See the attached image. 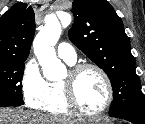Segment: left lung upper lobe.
Returning <instances> with one entry per match:
<instances>
[{
	"label": "left lung upper lobe",
	"mask_w": 145,
	"mask_h": 124,
	"mask_svg": "<svg viewBox=\"0 0 145 124\" xmlns=\"http://www.w3.org/2000/svg\"><path fill=\"white\" fill-rule=\"evenodd\" d=\"M72 12L70 40L110 78L113 88L110 116L145 119V100L121 18L106 0H75Z\"/></svg>",
	"instance_id": "1"
}]
</instances>
